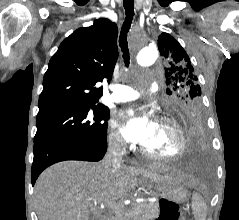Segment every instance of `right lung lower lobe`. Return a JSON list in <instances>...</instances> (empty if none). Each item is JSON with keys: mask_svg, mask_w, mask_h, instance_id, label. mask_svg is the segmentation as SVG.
<instances>
[{"mask_svg": "<svg viewBox=\"0 0 239 220\" xmlns=\"http://www.w3.org/2000/svg\"><path fill=\"white\" fill-rule=\"evenodd\" d=\"M107 142L89 144L71 140H49L34 144L32 185L48 166L63 160L99 161L105 155Z\"/></svg>", "mask_w": 239, "mask_h": 220, "instance_id": "obj_1", "label": "right lung lower lobe"}]
</instances>
